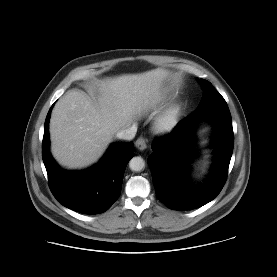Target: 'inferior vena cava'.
I'll return each instance as SVG.
<instances>
[{
    "instance_id": "inferior-vena-cava-1",
    "label": "inferior vena cava",
    "mask_w": 277,
    "mask_h": 277,
    "mask_svg": "<svg viewBox=\"0 0 277 277\" xmlns=\"http://www.w3.org/2000/svg\"><path fill=\"white\" fill-rule=\"evenodd\" d=\"M136 132V125H132L131 127L122 129L119 132H117L116 137L124 140H132L135 137Z\"/></svg>"
}]
</instances>
